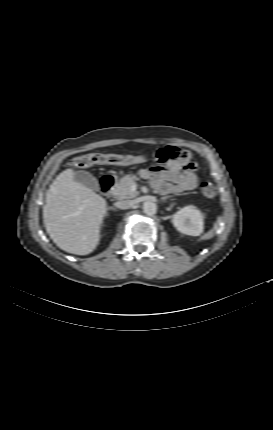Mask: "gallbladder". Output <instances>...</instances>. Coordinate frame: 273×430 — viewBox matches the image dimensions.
I'll use <instances>...</instances> for the list:
<instances>
[{"instance_id": "obj_1", "label": "gallbladder", "mask_w": 273, "mask_h": 430, "mask_svg": "<svg viewBox=\"0 0 273 430\" xmlns=\"http://www.w3.org/2000/svg\"><path fill=\"white\" fill-rule=\"evenodd\" d=\"M74 179L78 183L83 184L92 190L98 189V180L87 171L80 170L75 172Z\"/></svg>"}]
</instances>
